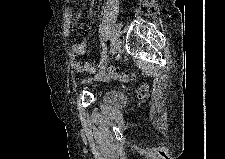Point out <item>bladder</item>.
<instances>
[{
    "label": "bladder",
    "instance_id": "obj_1",
    "mask_svg": "<svg viewBox=\"0 0 225 159\" xmlns=\"http://www.w3.org/2000/svg\"><path fill=\"white\" fill-rule=\"evenodd\" d=\"M104 104L111 107H120L124 104V97L118 92H107L103 99Z\"/></svg>",
    "mask_w": 225,
    "mask_h": 159
}]
</instances>
